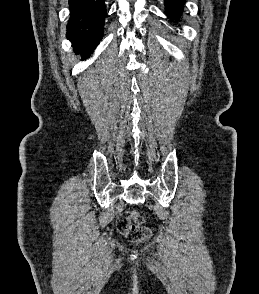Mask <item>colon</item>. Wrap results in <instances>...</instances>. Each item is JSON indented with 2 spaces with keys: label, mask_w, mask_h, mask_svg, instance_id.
Instances as JSON below:
<instances>
[{
  "label": "colon",
  "mask_w": 259,
  "mask_h": 294,
  "mask_svg": "<svg viewBox=\"0 0 259 294\" xmlns=\"http://www.w3.org/2000/svg\"><path fill=\"white\" fill-rule=\"evenodd\" d=\"M144 223L142 214L130 211L119 218L117 228L130 242H142L150 237V230Z\"/></svg>",
  "instance_id": "obj_1"
}]
</instances>
